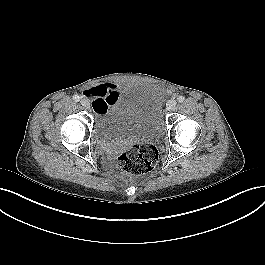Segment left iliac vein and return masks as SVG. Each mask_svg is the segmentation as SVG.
Instances as JSON below:
<instances>
[{"instance_id":"left-iliac-vein-1","label":"left iliac vein","mask_w":265,"mask_h":265,"mask_svg":"<svg viewBox=\"0 0 265 265\" xmlns=\"http://www.w3.org/2000/svg\"><path fill=\"white\" fill-rule=\"evenodd\" d=\"M176 104H177L176 100L171 99V100L168 101V103L166 105V109L169 110V111L173 110L176 107Z\"/></svg>"}]
</instances>
